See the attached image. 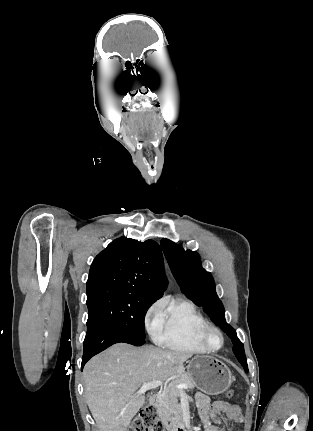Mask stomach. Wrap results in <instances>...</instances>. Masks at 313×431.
<instances>
[{
	"instance_id": "0dacf381",
	"label": "stomach",
	"mask_w": 313,
	"mask_h": 431,
	"mask_svg": "<svg viewBox=\"0 0 313 431\" xmlns=\"http://www.w3.org/2000/svg\"><path fill=\"white\" fill-rule=\"evenodd\" d=\"M186 374L199 390L209 395L225 392L234 380L230 369L222 361L207 355L193 357L188 362Z\"/></svg>"
}]
</instances>
